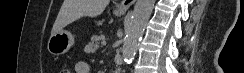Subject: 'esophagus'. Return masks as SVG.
I'll return each instance as SVG.
<instances>
[{"label":"esophagus","mask_w":244,"mask_h":73,"mask_svg":"<svg viewBox=\"0 0 244 73\" xmlns=\"http://www.w3.org/2000/svg\"><path fill=\"white\" fill-rule=\"evenodd\" d=\"M135 1L136 0H123L118 7L120 10H127L132 4L135 3Z\"/></svg>","instance_id":"esophagus-1"}]
</instances>
